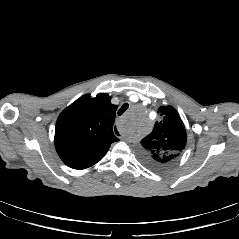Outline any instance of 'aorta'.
Instances as JSON below:
<instances>
[{
    "label": "aorta",
    "instance_id": "762f6f07",
    "mask_svg": "<svg viewBox=\"0 0 239 239\" xmlns=\"http://www.w3.org/2000/svg\"><path fill=\"white\" fill-rule=\"evenodd\" d=\"M145 121V118L130 114L123 123V130L128 136H132L142 129V124Z\"/></svg>",
    "mask_w": 239,
    "mask_h": 239
}]
</instances>
